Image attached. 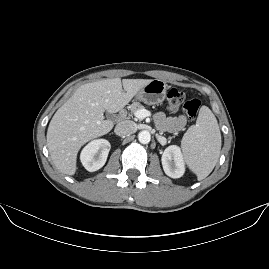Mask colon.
I'll return each instance as SVG.
<instances>
[{
  "mask_svg": "<svg viewBox=\"0 0 269 269\" xmlns=\"http://www.w3.org/2000/svg\"><path fill=\"white\" fill-rule=\"evenodd\" d=\"M167 108L172 112L183 110L190 119L198 116L201 101L197 98L186 99L185 92L179 88H171L166 95Z\"/></svg>",
  "mask_w": 269,
  "mask_h": 269,
  "instance_id": "1",
  "label": "colon"
}]
</instances>
